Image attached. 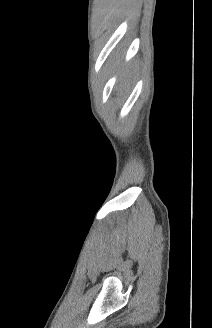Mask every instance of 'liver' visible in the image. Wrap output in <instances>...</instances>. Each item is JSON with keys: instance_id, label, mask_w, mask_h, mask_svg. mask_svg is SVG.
I'll return each mask as SVG.
<instances>
[{"instance_id": "liver-1", "label": "liver", "mask_w": 212, "mask_h": 328, "mask_svg": "<svg viewBox=\"0 0 212 328\" xmlns=\"http://www.w3.org/2000/svg\"><path fill=\"white\" fill-rule=\"evenodd\" d=\"M126 71H124V73H125ZM125 76H128V74H125Z\"/></svg>"}]
</instances>
